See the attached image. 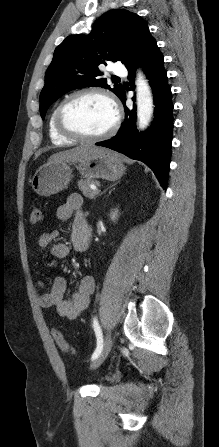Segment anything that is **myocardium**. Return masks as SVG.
<instances>
[{"instance_id": "obj_1", "label": "myocardium", "mask_w": 219, "mask_h": 447, "mask_svg": "<svg viewBox=\"0 0 219 447\" xmlns=\"http://www.w3.org/2000/svg\"><path fill=\"white\" fill-rule=\"evenodd\" d=\"M85 95H98L104 98L113 108L114 120L111 126L103 133L88 135L69 127L65 121L67 108L78 98ZM121 120V113L114 98L106 91L99 88H84L66 97L57 107L55 113V127L57 131L65 137L83 142H95L111 137L118 129Z\"/></svg>"}]
</instances>
